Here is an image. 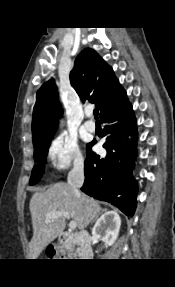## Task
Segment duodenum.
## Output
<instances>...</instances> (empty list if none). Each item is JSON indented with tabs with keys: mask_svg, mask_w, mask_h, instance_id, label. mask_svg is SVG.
<instances>
[{
	"mask_svg": "<svg viewBox=\"0 0 175 287\" xmlns=\"http://www.w3.org/2000/svg\"><path fill=\"white\" fill-rule=\"evenodd\" d=\"M61 241L67 249L71 245H76L79 256L83 259H88L92 256L91 238L86 231L65 232L61 236Z\"/></svg>",
	"mask_w": 175,
	"mask_h": 287,
	"instance_id": "duodenum-1",
	"label": "duodenum"
}]
</instances>
